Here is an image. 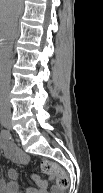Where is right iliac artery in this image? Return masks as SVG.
Instances as JSON below:
<instances>
[{
    "instance_id": "right-iliac-artery-1",
    "label": "right iliac artery",
    "mask_w": 103,
    "mask_h": 193,
    "mask_svg": "<svg viewBox=\"0 0 103 193\" xmlns=\"http://www.w3.org/2000/svg\"><path fill=\"white\" fill-rule=\"evenodd\" d=\"M1 136L4 137L5 139H11V134L6 129H2L1 130Z\"/></svg>"
}]
</instances>
